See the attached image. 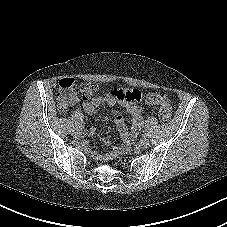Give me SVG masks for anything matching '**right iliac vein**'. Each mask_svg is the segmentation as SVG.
I'll return each mask as SVG.
<instances>
[{
	"label": "right iliac vein",
	"instance_id": "1",
	"mask_svg": "<svg viewBox=\"0 0 227 227\" xmlns=\"http://www.w3.org/2000/svg\"><path fill=\"white\" fill-rule=\"evenodd\" d=\"M82 135H83V132L80 131V130H75V131L73 132V136H74L75 138H80V137H82Z\"/></svg>",
	"mask_w": 227,
	"mask_h": 227
}]
</instances>
